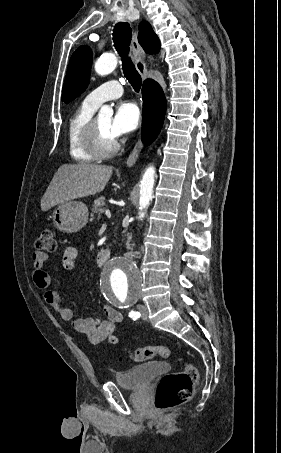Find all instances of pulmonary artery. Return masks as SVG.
Returning <instances> with one entry per match:
<instances>
[{"instance_id": "e3ab8cb5", "label": "pulmonary artery", "mask_w": 281, "mask_h": 453, "mask_svg": "<svg viewBox=\"0 0 281 453\" xmlns=\"http://www.w3.org/2000/svg\"><path fill=\"white\" fill-rule=\"evenodd\" d=\"M109 89V91L104 92ZM123 94V88L119 81L110 80L101 84L97 89L91 92L86 99L96 106H100L103 102L120 97Z\"/></svg>"}]
</instances>
